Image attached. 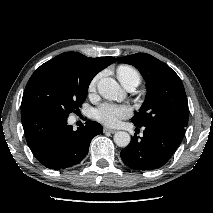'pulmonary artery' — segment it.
Segmentation results:
<instances>
[{
	"label": "pulmonary artery",
	"instance_id": "1",
	"mask_svg": "<svg viewBox=\"0 0 213 213\" xmlns=\"http://www.w3.org/2000/svg\"><path fill=\"white\" fill-rule=\"evenodd\" d=\"M138 84H139V80L132 78L125 81L122 85L124 86L126 90L133 91L138 86Z\"/></svg>",
	"mask_w": 213,
	"mask_h": 213
}]
</instances>
